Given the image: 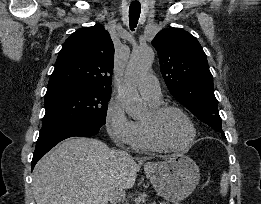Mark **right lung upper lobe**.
Instances as JSON below:
<instances>
[{"instance_id": "obj_1", "label": "right lung upper lobe", "mask_w": 261, "mask_h": 204, "mask_svg": "<svg viewBox=\"0 0 261 204\" xmlns=\"http://www.w3.org/2000/svg\"><path fill=\"white\" fill-rule=\"evenodd\" d=\"M114 45L100 24L72 33L58 54L47 92L96 89L111 91Z\"/></svg>"}]
</instances>
